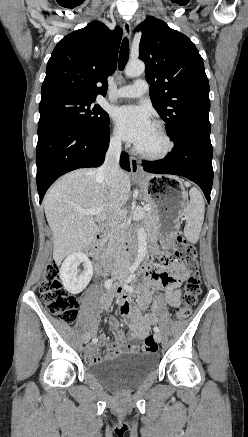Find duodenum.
I'll list each match as a JSON object with an SVG mask.
<instances>
[{
  "label": "duodenum",
  "instance_id": "1",
  "mask_svg": "<svg viewBox=\"0 0 248 437\" xmlns=\"http://www.w3.org/2000/svg\"><path fill=\"white\" fill-rule=\"evenodd\" d=\"M107 231H108V227H105L104 230L96 236L94 243L92 244L91 247V254L95 259L99 268L102 270H108L112 264L111 259L103 250V244ZM125 253L128 258H131L134 255V248L131 244H128L126 246ZM151 253L153 255H157L158 250L155 247H152Z\"/></svg>",
  "mask_w": 248,
  "mask_h": 437
}]
</instances>
